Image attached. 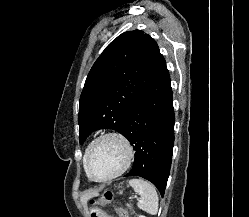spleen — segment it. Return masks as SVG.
<instances>
[{"mask_svg":"<svg viewBox=\"0 0 249 217\" xmlns=\"http://www.w3.org/2000/svg\"><path fill=\"white\" fill-rule=\"evenodd\" d=\"M130 186L135 192L141 195L138 202V207L151 215H156L158 212V194L156 188L148 181L134 178L129 181Z\"/></svg>","mask_w":249,"mask_h":217,"instance_id":"spleen-1","label":"spleen"}]
</instances>
